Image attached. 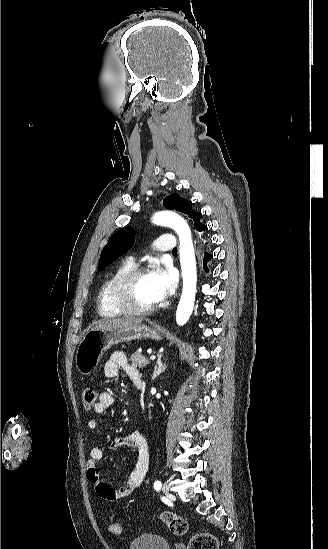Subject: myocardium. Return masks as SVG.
I'll return each mask as SVG.
<instances>
[{"label":"myocardium","instance_id":"myocardium-1","mask_svg":"<svg viewBox=\"0 0 328 549\" xmlns=\"http://www.w3.org/2000/svg\"><path fill=\"white\" fill-rule=\"evenodd\" d=\"M157 260H148L137 263L133 268L123 272L112 283L108 297L110 300L109 309L111 312L119 315L143 317L154 312L159 305V301L148 306L133 307L125 305H137L129 294L131 284L140 276L150 273L149 267L157 265Z\"/></svg>","mask_w":328,"mask_h":549}]
</instances>
